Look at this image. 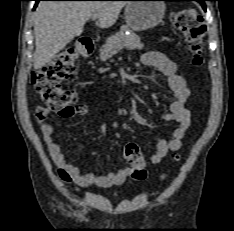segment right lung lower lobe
Returning <instances> with one entry per match:
<instances>
[{
  "label": "right lung lower lobe",
  "mask_w": 234,
  "mask_h": 231,
  "mask_svg": "<svg viewBox=\"0 0 234 231\" xmlns=\"http://www.w3.org/2000/svg\"><path fill=\"white\" fill-rule=\"evenodd\" d=\"M36 3H35V6H34V8L33 9H35L36 8V6L38 5V2L39 1H65V0H34Z\"/></svg>",
  "instance_id": "obj_1"
}]
</instances>
